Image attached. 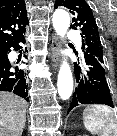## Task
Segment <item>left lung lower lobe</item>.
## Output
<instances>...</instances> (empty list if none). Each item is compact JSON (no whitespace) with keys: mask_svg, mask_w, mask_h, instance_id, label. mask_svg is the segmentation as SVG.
Segmentation results:
<instances>
[{"mask_svg":"<svg viewBox=\"0 0 117 136\" xmlns=\"http://www.w3.org/2000/svg\"><path fill=\"white\" fill-rule=\"evenodd\" d=\"M77 87L68 113L80 104H104L113 107L106 71L94 56L85 55L84 63L74 65Z\"/></svg>","mask_w":117,"mask_h":136,"instance_id":"0a47b994","label":"left lung lower lobe"}]
</instances>
